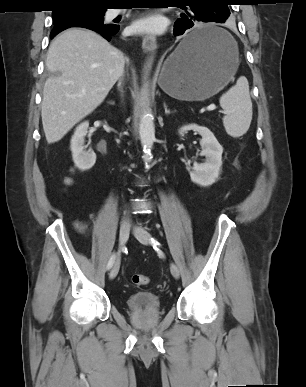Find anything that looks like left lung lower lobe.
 I'll return each instance as SVG.
<instances>
[{"instance_id": "0a47b994", "label": "left lung lower lobe", "mask_w": 306, "mask_h": 387, "mask_svg": "<svg viewBox=\"0 0 306 387\" xmlns=\"http://www.w3.org/2000/svg\"><path fill=\"white\" fill-rule=\"evenodd\" d=\"M193 26V21L185 17L177 19L174 24L173 34L175 36H180L185 33V38L183 40V50L185 52L197 50L222 39V34L216 30L207 29L188 32V29Z\"/></svg>"}]
</instances>
